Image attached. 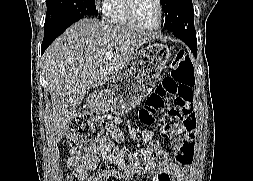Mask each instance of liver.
Masks as SVG:
<instances>
[{
    "mask_svg": "<svg viewBox=\"0 0 253 181\" xmlns=\"http://www.w3.org/2000/svg\"><path fill=\"white\" fill-rule=\"evenodd\" d=\"M155 37L135 27L84 18L69 27L43 55L52 100L51 130L59 142L70 115L89 89L113 79L133 54ZM107 52L114 56L106 58Z\"/></svg>",
    "mask_w": 253,
    "mask_h": 181,
    "instance_id": "6515ba94",
    "label": "liver"
}]
</instances>
